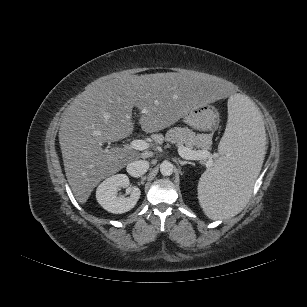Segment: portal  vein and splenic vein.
<instances>
[{"mask_svg": "<svg viewBox=\"0 0 307 307\" xmlns=\"http://www.w3.org/2000/svg\"><path fill=\"white\" fill-rule=\"evenodd\" d=\"M150 147V144L145 140H133L130 142L129 148L135 150H145ZM178 153L182 158L189 160H203L208 159L206 162V167H211L213 164V155L207 150H192L183 145L178 146Z\"/></svg>", "mask_w": 307, "mask_h": 307, "instance_id": "obj_1", "label": "portal vein and splenic vein"}]
</instances>
